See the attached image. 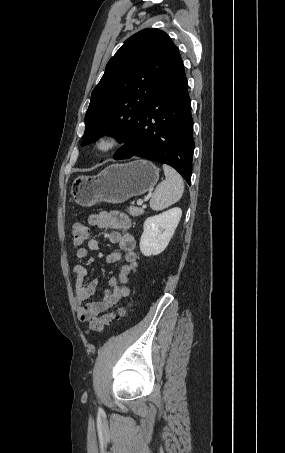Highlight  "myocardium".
Instances as JSON below:
<instances>
[{
	"instance_id": "f54148a6",
	"label": "myocardium",
	"mask_w": 285,
	"mask_h": 453,
	"mask_svg": "<svg viewBox=\"0 0 285 453\" xmlns=\"http://www.w3.org/2000/svg\"><path fill=\"white\" fill-rule=\"evenodd\" d=\"M120 133L115 129H106L99 133L93 141V149L101 154L109 153L120 146Z\"/></svg>"
}]
</instances>
